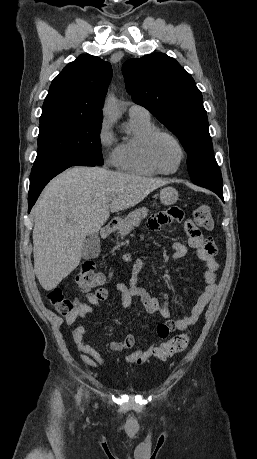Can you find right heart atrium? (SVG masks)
<instances>
[{
  "instance_id": "d8ad5b80",
  "label": "right heart atrium",
  "mask_w": 257,
  "mask_h": 459,
  "mask_svg": "<svg viewBox=\"0 0 257 459\" xmlns=\"http://www.w3.org/2000/svg\"><path fill=\"white\" fill-rule=\"evenodd\" d=\"M98 144L106 162L114 163L116 146L110 124L107 120L101 123L98 132Z\"/></svg>"
}]
</instances>
